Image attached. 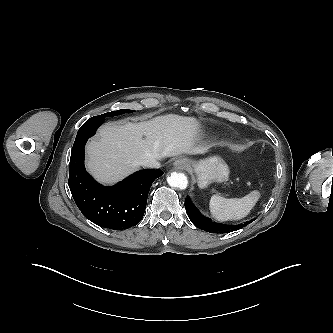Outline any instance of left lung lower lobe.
Here are the masks:
<instances>
[{"mask_svg":"<svg viewBox=\"0 0 333 333\" xmlns=\"http://www.w3.org/2000/svg\"><path fill=\"white\" fill-rule=\"evenodd\" d=\"M185 209H186L189 219L197 228L210 232V233H217V234L229 233L234 230L240 229V228L250 224L253 220H255V219H253V220H250L245 223L238 224V225H222L219 223H215V222L211 221L210 219L199 214L196 211V209L191 205L188 198L185 200Z\"/></svg>","mask_w":333,"mask_h":333,"instance_id":"obj_1","label":"left lung lower lobe"}]
</instances>
